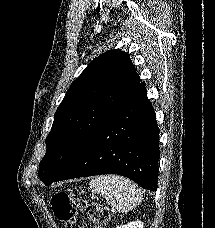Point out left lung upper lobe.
Masks as SVG:
<instances>
[{
  "label": "left lung upper lobe",
  "instance_id": "left-lung-upper-lobe-1",
  "mask_svg": "<svg viewBox=\"0 0 215 228\" xmlns=\"http://www.w3.org/2000/svg\"><path fill=\"white\" fill-rule=\"evenodd\" d=\"M139 84L129 55L119 49L89 63L55 113L46 138L47 151L40 162L41 181L58 177Z\"/></svg>",
  "mask_w": 215,
  "mask_h": 228
}]
</instances>
